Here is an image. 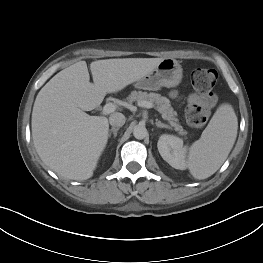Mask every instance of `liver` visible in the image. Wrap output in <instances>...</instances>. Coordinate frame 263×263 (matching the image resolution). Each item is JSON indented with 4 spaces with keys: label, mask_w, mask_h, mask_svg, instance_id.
<instances>
[{
    "label": "liver",
    "mask_w": 263,
    "mask_h": 263,
    "mask_svg": "<svg viewBox=\"0 0 263 263\" xmlns=\"http://www.w3.org/2000/svg\"><path fill=\"white\" fill-rule=\"evenodd\" d=\"M163 58H117L85 61L57 73L39 91L32 111V138L43 163L58 176L86 180L104 151L109 124L85 111L150 73Z\"/></svg>",
    "instance_id": "liver-1"
}]
</instances>
